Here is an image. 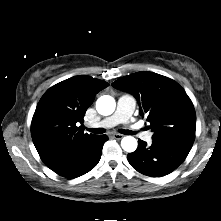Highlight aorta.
<instances>
[{
	"label": "aorta",
	"mask_w": 221,
	"mask_h": 221,
	"mask_svg": "<svg viewBox=\"0 0 221 221\" xmlns=\"http://www.w3.org/2000/svg\"><path fill=\"white\" fill-rule=\"evenodd\" d=\"M115 100L109 95H103L96 101V110L101 115H110L115 110ZM137 140L132 136H126L121 140V147L126 152H134L137 148Z\"/></svg>",
	"instance_id": "aorta-1"
}]
</instances>
